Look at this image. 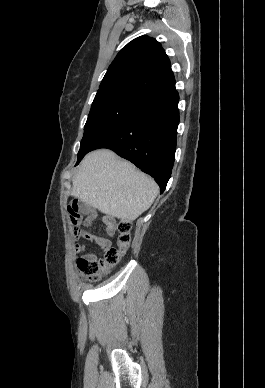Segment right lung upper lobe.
<instances>
[{"label": "right lung upper lobe", "instance_id": "cb5924a9", "mask_svg": "<svg viewBox=\"0 0 265 388\" xmlns=\"http://www.w3.org/2000/svg\"><path fill=\"white\" fill-rule=\"evenodd\" d=\"M173 87L175 78L161 44L140 36L118 53L98 92H126L148 99Z\"/></svg>", "mask_w": 265, "mask_h": 388}]
</instances>
